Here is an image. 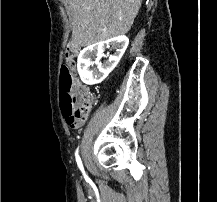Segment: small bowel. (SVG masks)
<instances>
[{
    "label": "small bowel",
    "instance_id": "1",
    "mask_svg": "<svg viewBox=\"0 0 217 202\" xmlns=\"http://www.w3.org/2000/svg\"><path fill=\"white\" fill-rule=\"evenodd\" d=\"M77 85V100H78V95H88L87 90L84 88V86H82L80 83L76 82ZM79 102H83L84 100H78ZM89 116V109L87 111V113L85 114V116H78V121H81L79 123V127H81L83 125V123L88 119Z\"/></svg>",
    "mask_w": 217,
    "mask_h": 202
}]
</instances>
